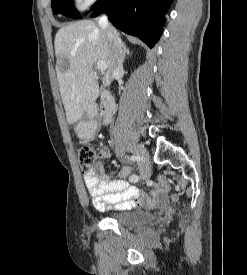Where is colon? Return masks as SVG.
Here are the masks:
<instances>
[{
    "label": "colon",
    "instance_id": "1",
    "mask_svg": "<svg viewBox=\"0 0 247 275\" xmlns=\"http://www.w3.org/2000/svg\"><path fill=\"white\" fill-rule=\"evenodd\" d=\"M95 160L96 154L90 146L85 145L79 149L78 162L79 167L83 173H87L91 169V167L95 163ZM161 180L166 186H168L167 182L164 179Z\"/></svg>",
    "mask_w": 247,
    "mask_h": 275
}]
</instances>
